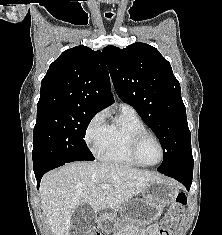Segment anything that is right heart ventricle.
I'll return each instance as SVG.
<instances>
[{
	"instance_id": "right-heart-ventricle-1",
	"label": "right heart ventricle",
	"mask_w": 222,
	"mask_h": 235,
	"mask_svg": "<svg viewBox=\"0 0 222 235\" xmlns=\"http://www.w3.org/2000/svg\"><path fill=\"white\" fill-rule=\"evenodd\" d=\"M147 131L144 122L135 111L120 108L112 122L107 124L105 140L97 152L98 157L119 165L138 166L130 155V144L135 135Z\"/></svg>"
}]
</instances>
